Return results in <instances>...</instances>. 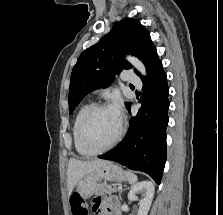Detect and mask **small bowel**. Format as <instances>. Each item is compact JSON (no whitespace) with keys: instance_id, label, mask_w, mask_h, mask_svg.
Returning a JSON list of instances; mask_svg holds the SVG:
<instances>
[{"instance_id":"c3829d8e","label":"small bowel","mask_w":223,"mask_h":215,"mask_svg":"<svg viewBox=\"0 0 223 215\" xmlns=\"http://www.w3.org/2000/svg\"><path fill=\"white\" fill-rule=\"evenodd\" d=\"M94 215H118L117 204L114 198L98 195L93 200Z\"/></svg>"}]
</instances>
